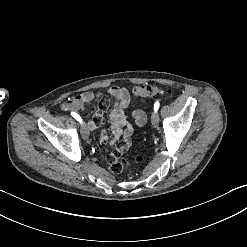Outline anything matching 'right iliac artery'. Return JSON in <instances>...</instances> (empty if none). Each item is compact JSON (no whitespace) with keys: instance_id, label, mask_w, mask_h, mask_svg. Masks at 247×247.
<instances>
[{"instance_id":"obj_1","label":"right iliac artery","mask_w":247,"mask_h":247,"mask_svg":"<svg viewBox=\"0 0 247 247\" xmlns=\"http://www.w3.org/2000/svg\"><path fill=\"white\" fill-rule=\"evenodd\" d=\"M71 115L82 124V119L77 113L71 112Z\"/></svg>"}]
</instances>
